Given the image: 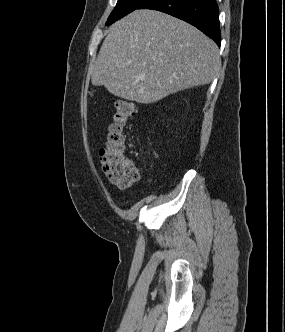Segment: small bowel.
I'll use <instances>...</instances> for the list:
<instances>
[{
  "label": "small bowel",
  "mask_w": 285,
  "mask_h": 332,
  "mask_svg": "<svg viewBox=\"0 0 285 332\" xmlns=\"http://www.w3.org/2000/svg\"><path fill=\"white\" fill-rule=\"evenodd\" d=\"M141 171L145 173L146 175L148 174L143 168H141Z\"/></svg>",
  "instance_id": "c3829d8e"
}]
</instances>
